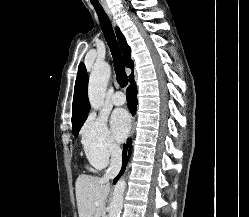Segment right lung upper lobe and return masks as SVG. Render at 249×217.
Here are the masks:
<instances>
[{
  "label": "right lung upper lobe",
  "instance_id": "obj_1",
  "mask_svg": "<svg viewBox=\"0 0 249 217\" xmlns=\"http://www.w3.org/2000/svg\"><path fill=\"white\" fill-rule=\"evenodd\" d=\"M116 35L123 52L126 66L133 69V62L130 58V47L127 45L124 35L116 27ZM133 76V73L130 77ZM88 74L84 63L78 66V74L75 82L73 105H72V126L85 120L88 116L90 104L87 95Z\"/></svg>",
  "mask_w": 249,
  "mask_h": 217
}]
</instances>
